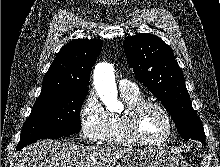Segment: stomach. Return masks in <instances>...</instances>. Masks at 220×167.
<instances>
[{
    "instance_id": "1",
    "label": "stomach",
    "mask_w": 220,
    "mask_h": 167,
    "mask_svg": "<svg viewBox=\"0 0 220 167\" xmlns=\"http://www.w3.org/2000/svg\"><path fill=\"white\" fill-rule=\"evenodd\" d=\"M119 167H189L180 154L166 147L128 151Z\"/></svg>"
}]
</instances>
